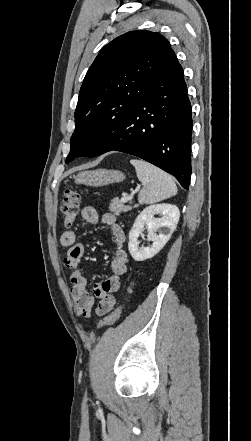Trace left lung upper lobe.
<instances>
[{
  "instance_id": "5c2ea615",
  "label": "left lung upper lobe",
  "mask_w": 251,
  "mask_h": 441,
  "mask_svg": "<svg viewBox=\"0 0 251 441\" xmlns=\"http://www.w3.org/2000/svg\"><path fill=\"white\" fill-rule=\"evenodd\" d=\"M174 54L166 38L150 31H130L102 48L80 89L66 163L90 156L93 132L120 122L147 95Z\"/></svg>"
}]
</instances>
